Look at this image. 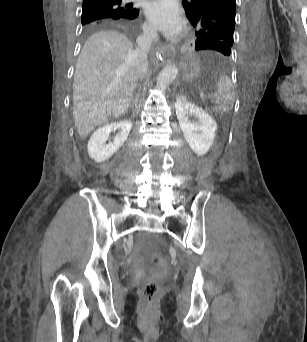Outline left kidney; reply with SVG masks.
<instances>
[{"instance_id": "1", "label": "left kidney", "mask_w": 307, "mask_h": 342, "mask_svg": "<svg viewBox=\"0 0 307 342\" xmlns=\"http://www.w3.org/2000/svg\"><path fill=\"white\" fill-rule=\"evenodd\" d=\"M175 110L183 136L197 156L207 154L217 130V122L202 108L191 104L186 96H178ZM196 118V120H190Z\"/></svg>"}]
</instances>
